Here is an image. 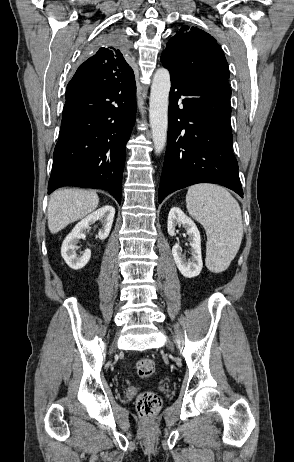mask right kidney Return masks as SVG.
I'll use <instances>...</instances> for the list:
<instances>
[{"instance_id":"obj_1","label":"right kidney","mask_w":294,"mask_h":462,"mask_svg":"<svg viewBox=\"0 0 294 462\" xmlns=\"http://www.w3.org/2000/svg\"><path fill=\"white\" fill-rule=\"evenodd\" d=\"M114 215L115 209L113 206H103L77 223L73 230L66 236L62 243L61 255L70 268L73 270L82 269L90 260V249H86L83 255L79 257L75 252L77 242L80 239L85 238V234L89 229V226L96 221H101L103 227L99 231L98 237L99 239L104 240L108 237L111 231Z\"/></svg>"}]
</instances>
